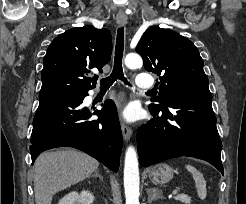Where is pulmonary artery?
<instances>
[{
	"label": "pulmonary artery",
	"mask_w": 246,
	"mask_h": 204,
	"mask_svg": "<svg viewBox=\"0 0 246 204\" xmlns=\"http://www.w3.org/2000/svg\"><path fill=\"white\" fill-rule=\"evenodd\" d=\"M136 85L141 90H148L153 87L154 81L148 73H140L136 77Z\"/></svg>",
	"instance_id": "1"
}]
</instances>
